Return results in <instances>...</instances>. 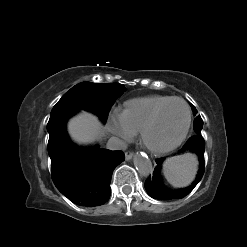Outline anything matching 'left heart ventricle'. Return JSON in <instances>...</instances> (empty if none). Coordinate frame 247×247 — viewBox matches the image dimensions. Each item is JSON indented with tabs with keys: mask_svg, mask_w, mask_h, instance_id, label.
Masks as SVG:
<instances>
[{
	"mask_svg": "<svg viewBox=\"0 0 247 247\" xmlns=\"http://www.w3.org/2000/svg\"><path fill=\"white\" fill-rule=\"evenodd\" d=\"M187 111L182 102L175 101L164 108L157 121L149 130L147 138L153 145H167L183 132Z\"/></svg>",
	"mask_w": 247,
	"mask_h": 247,
	"instance_id": "b2bd125f",
	"label": "left heart ventricle"
}]
</instances>
